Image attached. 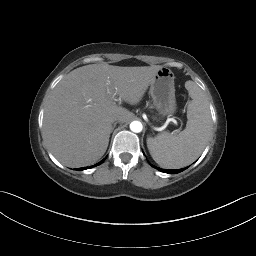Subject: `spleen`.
Listing matches in <instances>:
<instances>
[{
	"label": "spleen",
	"mask_w": 256,
	"mask_h": 256,
	"mask_svg": "<svg viewBox=\"0 0 256 256\" xmlns=\"http://www.w3.org/2000/svg\"><path fill=\"white\" fill-rule=\"evenodd\" d=\"M185 87L192 98L187 105L186 128L178 135L166 132L147 139L153 160L168 169L182 168L194 162L211 134L212 120L204 92L193 81H187Z\"/></svg>",
	"instance_id": "obj_1"
}]
</instances>
